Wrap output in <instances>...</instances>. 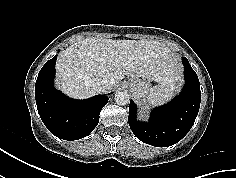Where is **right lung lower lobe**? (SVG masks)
<instances>
[{"label":"right lung lower lobe","instance_id":"right-lung-lower-lobe-1","mask_svg":"<svg viewBox=\"0 0 236 178\" xmlns=\"http://www.w3.org/2000/svg\"><path fill=\"white\" fill-rule=\"evenodd\" d=\"M57 55L47 61L38 74L35 98L38 113L48 130L64 140H77L89 135L99 123L101 109L109 98L96 95L74 100L55 89Z\"/></svg>","mask_w":236,"mask_h":178}]
</instances>
